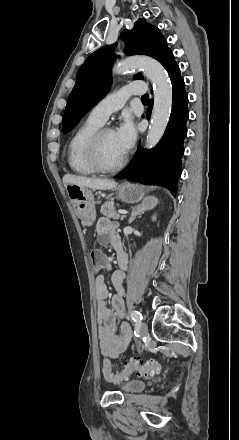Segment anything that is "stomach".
Masks as SVG:
<instances>
[{
  "label": "stomach",
  "instance_id": "stomach-1",
  "mask_svg": "<svg viewBox=\"0 0 239 440\" xmlns=\"http://www.w3.org/2000/svg\"><path fill=\"white\" fill-rule=\"evenodd\" d=\"M118 196L127 204H137L144 200L149 188L141 184H129L124 182L120 188H117ZM68 196L73 204L76 216L82 220L83 226H92L96 220V210L94 196L88 188H79V186H70Z\"/></svg>",
  "mask_w": 239,
  "mask_h": 440
}]
</instances>
